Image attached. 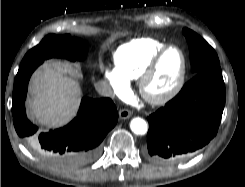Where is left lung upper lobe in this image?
Returning a JSON list of instances; mask_svg holds the SVG:
<instances>
[{
  "instance_id": "1",
  "label": "left lung upper lobe",
  "mask_w": 245,
  "mask_h": 187,
  "mask_svg": "<svg viewBox=\"0 0 245 187\" xmlns=\"http://www.w3.org/2000/svg\"><path fill=\"white\" fill-rule=\"evenodd\" d=\"M183 34L190 49V62L193 73L197 74L205 69L219 65L215 50L203 38L187 28L183 29Z\"/></svg>"
}]
</instances>
